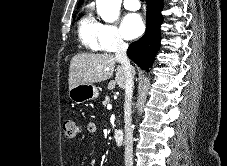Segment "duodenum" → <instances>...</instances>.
<instances>
[{"instance_id": "obj_1", "label": "duodenum", "mask_w": 227, "mask_h": 166, "mask_svg": "<svg viewBox=\"0 0 227 166\" xmlns=\"http://www.w3.org/2000/svg\"><path fill=\"white\" fill-rule=\"evenodd\" d=\"M114 140L117 146H122L124 142V132L121 129H117L114 132Z\"/></svg>"}]
</instances>
